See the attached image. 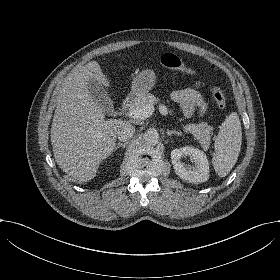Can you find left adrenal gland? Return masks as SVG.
<instances>
[{
	"instance_id": "a2214340",
	"label": "left adrenal gland",
	"mask_w": 280,
	"mask_h": 280,
	"mask_svg": "<svg viewBox=\"0 0 280 280\" xmlns=\"http://www.w3.org/2000/svg\"><path fill=\"white\" fill-rule=\"evenodd\" d=\"M167 134H169V135H171V134L181 135L182 132L180 130H167Z\"/></svg>"
}]
</instances>
